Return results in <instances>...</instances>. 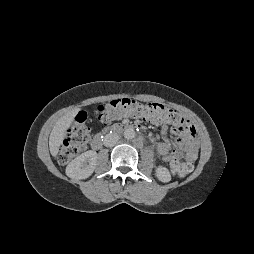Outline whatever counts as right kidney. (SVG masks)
I'll return each mask as SVG.
<instances>
[{
  "instance_id": "right-kidney-1",
  "label": "right kidney",
  "mask_w": 254,
  "mask_h": 254,
  "mask_svg": "<svg viewBox=\"0 0 254 254\" xmlns=\"http://www.w3.org/2000/svg\"><path fill=\"white\" fill-rule=\"evenodd\" d=\"M97 161V153L89 150L75 159L66 167V175L73 179H86L93 173Z\"/></svg>"
}]
</instances>
